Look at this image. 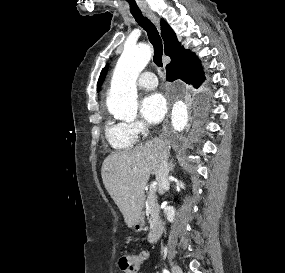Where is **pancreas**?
I'll use <instances>...</instances> for the list:
<instances>
[{
    "instance_id": "obj_1",
    "label": "pancreas",
    "mask_w": 285,
    "mask_h": 273,
    "mask_svg": "<svg viewBox=\"0 0 285 273\" xmlns=\"http://www.w3.org/2000/svg\"><path fill=\"white\" fill-rule=\"evenodd\" d=\"M156 204H155V191L150 190L148 193V202H147V208H146V215L147 216H153V213L155 212Z\"/></svg>"
}]
</instances>
